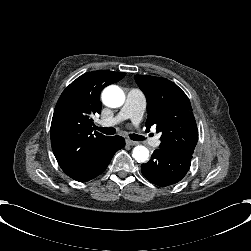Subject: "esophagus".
Here are the masks:
<instances>
[{"label": "esophagus", "instance_id": "esophagus-1", "mask_svg": "<svg viewBox=\"0 0 251 251\" xmlns=\"http://www.w3.org/2000/svg\"><path fill=\"white\" fill-rule=\"evenodd\" d=\"M127 143H128V145H130V146H136V145H138L139 143L138 142H136V141H133V140H129V139H127V141H126Z\"/></svg>", "mask_w": 251, "mask_h": 251}]
</instances>
